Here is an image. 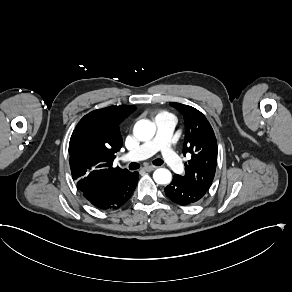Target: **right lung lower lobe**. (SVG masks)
Returning <instances> with one entry per match:
<instances>
[{"label": "right lung lower lobe", "instance_id": "1", "mask_svg": "<svg viewBox=\"0 0 292 292\" xmlns=\"http://www.w3.org/2000/svg\"><path fill=\"white\" fill-rule=\"evenodd\" d=\"M138 177V172H129L98 192L82 194L98 209H118L130 199L136 188Z\"/></svg>", "mask_w": 292, "mask_h": 292}]
</instances>
